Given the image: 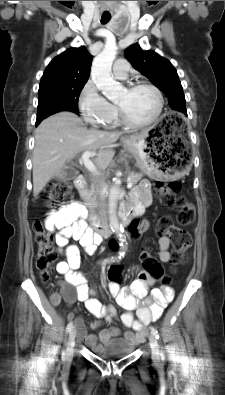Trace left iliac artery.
<instances>
[{"instance_id": "obj_1", "label": "left iliac artery", "mask_w": 225, "mask_h": 395, "mask_svg": "<svg viewBox=\"0 0 225 395\" xmlns=\"http://www.w3.org/2000/svg\"><path fill=\"white\" fill-rule=\"evenodd\" d=\"M151 329V333L154 334V336L156 337V339H159V334L156 328L154 327H150Z\"/></svg>"}]
</instances>
